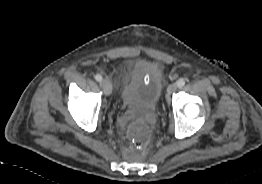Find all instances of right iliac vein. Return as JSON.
<instances>
[{
    "mask_svg": "<svg viewBox=\"0 0 262 184\" xmlns=\"http://www.w3.org/2000/svg\"><path fill=\"white\" fill-rule=\"evenodd\" d=\"M101 85L104 88L105 95H110L112 92V83L109 80L104 79L101 81Z\"/></svg>",
    "mask_w": 262,
    "mask_h": 184,
    "instance_id": "1",
    "label": "right iliac vein"
}]
</instances>
